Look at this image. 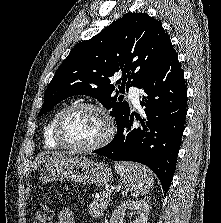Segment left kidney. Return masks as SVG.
I'll list each match as a JSON object with an SVG mask.
<instances>
[{
  "instance_id": "1",
  "label": "left kidney",
  "mask_w": 221,
  "mask_h": 223,
  "mask_svg": "<svg viewBox=\"0 0 221 223\" xmlns=\"http://www.w3.org/2000/svg\"><path fill=\"white\" fill-rule=\"evenodd\" d=\"M135 210L137 217L131 223H147L149 204L144 200L126 201L121 204L112 214L110 223H123V215L127 211Z\"/></svg>"
}]
</instances>
